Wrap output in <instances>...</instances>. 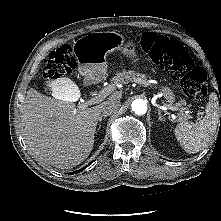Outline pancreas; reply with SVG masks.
I'll return each instance as SVG.
<instances>
[{
    "instance_id": "obj_1",
    "label": "pancreas",
    "mask_w": 221,
    "mask_h": 221,
    "mask_svg": "<svg viewBox=\"0 0 221 221\" xmlns=\"http://www.w3.org/2000/svg\"><path fill=\"white\" fill-rule=\"evenodd\" d=\"M146 80V76L144 74L136 73L135 71H123L116 73L115 76L112 78V83L115 84H125L132 81H140L144 82ZM185 101H182L181 103H177L176 106H181L184 104ZM181 111H185L184 113L179 114V119L184 120L190 118L189 110L185 107L180 108Z\"/></svg>"
}]
</instances>
